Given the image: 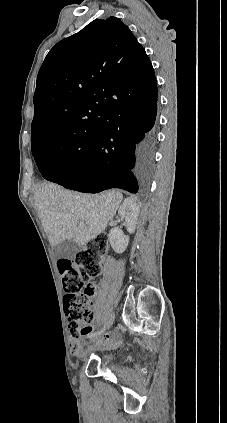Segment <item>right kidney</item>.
Instances as JSON below:
<instances>
[{"label":"right kidney","mask_w":227,"mask_h":423,"mask_svg":"<svg viewBox=\"0 0 227 423\" xmlns=\"http://www.w3.org/2000/svg\"><path fill=\"white\" fill-rule=\"evenodd\" d=\"M118 213L126 221V229L134 233L139 219L140 208L133 198H126L121 204ZM108 239L117 253H123L129 243V235H125L120 227H112L108 233Z\"/></svg>","instance_id":"right-kidney-1"}]
</instances>
